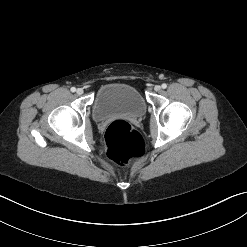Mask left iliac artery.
<instances>
[{"label": "left iliac artery", "mask_w": 247, "mask_h": 247, "mask_svg": "<svg viewBox=\"0 0 247 247\" xmlns=\"http://www.w3.org/2000/svg\"><path fill=\"white\" fill-rule=\"evenodd\" d=\"M162 88H163V89H166V88H167V84L163 83V84H162Z\"/></svg>", "instance_id": "44dca946"}]
</instances>
